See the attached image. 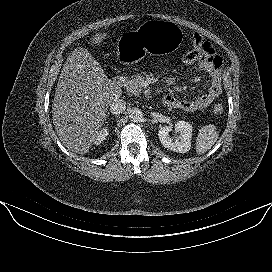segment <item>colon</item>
<instances>
[{
	"label": "colon",
	"instance_id": "5ec220e1",
	"mask_svg": "<svg viewBox=\"0 0 272 272\" xmlns=\"http://www.w3.org/2000/svg\"><path fill=\"white\" fill-rule=\"evenodd\" d=\"M200 51L197 49H192L189 51H186L183 53L181 60L183 61V63L186 64H192L194 62H196L199 58H200ZM213 111L215 114L220 115L224 112V106L222 103H217L214 108Z\"/></svg>",
	"mask_w": 272,
	"mask_h": 272
}]
</instances>
